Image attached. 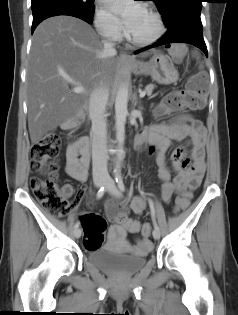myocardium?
<instances>
[{
	"mask_svg": "<svg viewBox=\"0 0 238 315\" xmlns=\"http://www.w3.org/2000/svg\"><path fill=\"white\" fill-rule=\"evenodd\" d=\"M144 10L147 11L154 18L156 22V32L151 37L146 39L134 38L129 34L128 30L125 33V37L128 40V42H130L132 45L139 47L149 46L155 43L163 36L165 32V26L161 15L152 8H145Z\"/></svg>",
	"mask_w": 238,
	"mask_h": 315,
	"instance_id": "myocardium-1",
	"label": "myocardium"
}]
</instances>
